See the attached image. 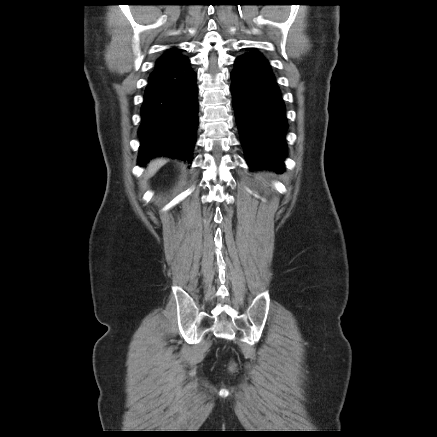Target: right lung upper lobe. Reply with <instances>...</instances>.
I'll list each match as a JSON object with an SVG mask.
<instances>
[{
    "label": "right lung upper lobe",
    "instance_id": "cb5924a9",
    "mask_svg": "<svg viewBox=\"0 0 437 437\" xmlns=\"http://www.w3.org/2000/svg\"><path fill=\"white\" fill-rule=\"evenodd\" d=\"M181 56L178 49H171L158 59L156 67L172 62Z\"/></svg>",
    "mask_w": 437,
    "mask_h": 437
}]
</instances>
